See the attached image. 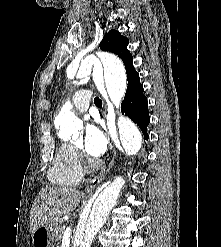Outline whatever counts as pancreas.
Listing matches in <instances>:
<instances>
[{
	"label": "pancreas",
	"mask_w": 221,
	"mask_h": 247,
	"mask_svg": "<svg viewBox=\"0 0 221 247\" xmlns=\"http://www.w3.org/2000/svg\"><path fill=\"white\" fill-rule=\"evenodd\" d=\"M52 233L54 239L57 243L61 242L62 233H63V226L57 222L52 224Z\"/></svg>",
	"instance_id": "cf45deb5"
}]
</instances>
